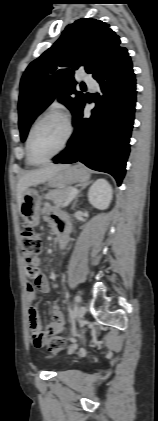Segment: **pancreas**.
Masks as SVG:
<instances>
[{
	"instance_id": "1",
	"label": "pancreas",
	"mask_w": 158,
	"mask_h": 421,
	"mask_svg": "<svg viewBox=\"0 0 158 421\" xmlns=\"http://www.w3.org/2000/svg\"><path fill=\"white\" fill-rule=\"evenodd\" d=\"M74 188L69 186L63 189L51 190L45 195V199L53 201L57 207H61L68 202L69 195Z\"/></svg>"
}]
</instances>
